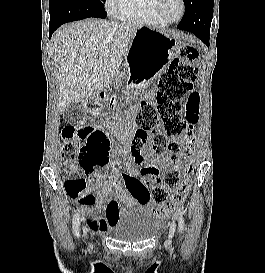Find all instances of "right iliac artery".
I'll use <instances>...</instances> for the list:
<instances>
[{
	"label": "right iliac artery",
	"mask_w": 265,
	"mask_h": 273,
	"mask_svg": "<svg viewBox=\"0 0 265 273\" xmlns=\"http://www.w3.org/2000/svg\"><path fill=\"white\" fill-rule=\"evenodd\" d=\"M80 214L77 213L73 218V232L76 237H79L80 235Z\"/></svg>",
	"instance_id": "1"
}]
</instances>
